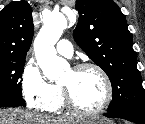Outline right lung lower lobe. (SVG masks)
<instances>
[{
	"mask_svg": "<svg viewBox=\"0 0 145 124\" xmlns=\"http://www.w3.org/2000/svg\"><path fill=\"white\" fill-rule=\"evenodd\" d=\"M25 107L26 104L22 97H0V107Z\"/></svg>",
	"mask_w": 145,
	"mask_h": 124,
	"instance_id": "98d812e1",
	"label": "right lung lower lobe"
}]
</instances>
